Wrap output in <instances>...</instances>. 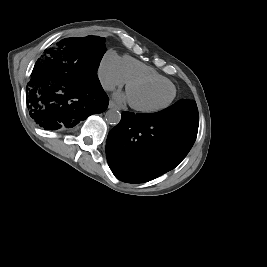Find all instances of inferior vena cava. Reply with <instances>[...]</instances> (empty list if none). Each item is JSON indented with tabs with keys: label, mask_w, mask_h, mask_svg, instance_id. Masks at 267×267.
Segmentation results:
<instances>
[{
	"label": "inferior vena cava",
	"mask_w": 267,
	"mask_h": 267,
	"mask_svg": "<svg viewBox=\"0 0 267 267\" xmlns=\"http://www.w3.org/2000/svg\"><path fill=\"white\" fill-rule=\"evenodd\" d=\"M102 86L105 90H108V91H112L115 88L113 84L105 82V81L102 82Z\"/></svg>",
	"instance_id": "obj_1"
}]
</instances>
